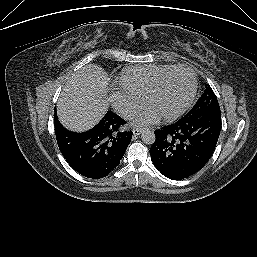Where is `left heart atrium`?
Instances as JSON below:
<instances>
[{"label":"left heart atrium","instance_id":"left-heart-atrium-1","mask_svg":"<svg viewBox=\"0 0 257 257\" xmlns=\"http://www.w3.org/2000/svg\"><path fill=\"white\" fill-rule=\"evenodd\" d=\"M159 119V114L152 108L148 107L138 114L135 119L137 126L145 127L156 123Z\"/></svg>","mask_w":257,"mask_h":257}]
</instances>
